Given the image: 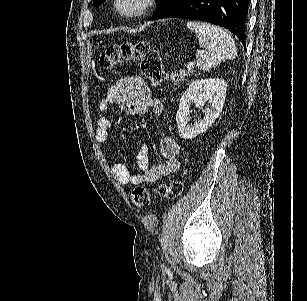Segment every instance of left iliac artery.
Segmentation results:
<instances>
[{
    "label": "left iliac artery",
    "mask_w": 307,
    "mask_h": 301,
    "mask_svg": "<svg viewBox=\"0 0 307 301\" xmlns=\"http://www.w3.org/2000/svg\"><path fill=\"white\" fill-rule=\"evenodd\" d=\"M161 267H163V268H164V267H165V266H164V264H163V265H161Z\"/></svg>",
    "instance_id": "left-iliac-artery-1"
}]
</instances>
